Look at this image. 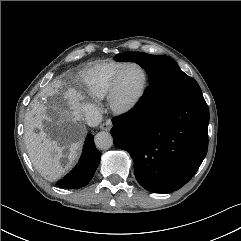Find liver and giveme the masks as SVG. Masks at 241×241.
<instances>
[{"mask_svg": "<svg viewBox=\"0 0 241 241\" xmlns=\"http://www.w3.org/2000/svg\"><path fill=\"white\" fill-rule=\"evenodd\" d=\"M61 87L60 81L50 84L40 100H33L25 118L27 153L32 164L48 181L57 180L71 167L85 136V130L79 123L82 99L80 93L74 88H68L59 98L60 104L42 99L58 94ZM47 124L57 129L58 140H63V146L48 135ZM36 129L39 131L35 132ZM63 158L67 161L62 162Z\"/></svg>", "mask_w": 241, "mask_h": 241, "instance_id": "obj_1", "label": "liver"}]
</instances>
